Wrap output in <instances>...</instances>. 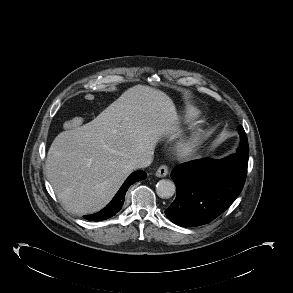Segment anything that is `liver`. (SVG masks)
Instances as JSON below:
<instances>
[{"label": "liver", "mask_w": 293, "mask_h": 293, "mask_svg": "<svg viewBox=\"0 0 293 293\" xmlns=\"http://www.w3.org/2000/svg\"><path fill=\"white\" fill-rule=\"evenodd\" d=\"M177 112L164 92L144 85L126 90L95 119L63 131L52 142L46 176L69 212L104 208L163 136L176 137Z\"/></svg>", "instance_id": "obj_1"}]
</instances>
